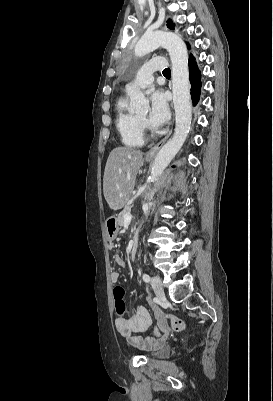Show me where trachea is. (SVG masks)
<instances>
[{
	"label": "trachea",
	"mask_w": 273,
	"mask_h": 401,
	"mask_svg": "<svg viewBox=\"0 0 273 401\" xmlns=\"http://www.w3.org/2000/svg\"><path fill=\"white\" fill-rule=\"evenodd\" d=\"M163 73H164V74H170V73H171L170 68H165V69L163 70Z\"/></svg>",
	"instance_id": "1"
}]
</instances>
